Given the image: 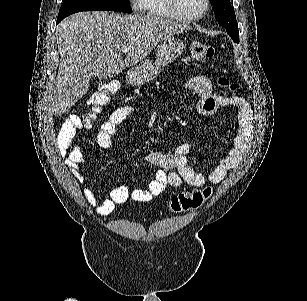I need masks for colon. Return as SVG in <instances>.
<instances>
[{"instance_id":"colon-1","label":"colon","mask_w":307,"mask_h":301,"mask_svg":"<svg viewBox=\"0 0 307 301\" xmlns=\"http://www.w3.org/2000/svg\"><path fill=\"white\" fill-rule=\"evenodd\" d=\"M191 54L197 61H206L213 57L214 49L211 45L203 41H194L191 44ZM218 83L230 91H235L238 88L236 83L230 82L225 77L219 78ZM119 88V83L114 81L105 82L101 85L99 90L89 100V110L80 116L82 127L87 129L95 127L97 115L110 103L112 97L118 93ZM211 192L212 190L209 187L181 192L170 199L168 208L174 213L198 209L209 199Z\"/></svg>"}]
</instances>
